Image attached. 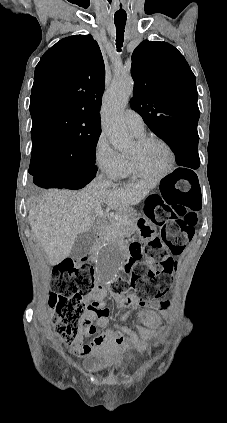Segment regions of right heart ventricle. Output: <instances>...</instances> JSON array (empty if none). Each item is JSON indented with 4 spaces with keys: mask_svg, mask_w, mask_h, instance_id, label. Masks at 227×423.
Masks as SVG:
<instances>
[{
    "mask_svg": "<svg viewBox=\"0 0 227 423\" xmlns=\"http://www.w3.org/2000/svg\"><path fill=\"white\" fill-rule=\"evenodd\" d=\"M144 134H142V135H138V136H136V137H141V136H143ZM124 159H125V163H126V171H125V175H129L130 173H131V168H130V163H129V159H128V156L127 155H124Z\"/></svg>",
    "mask_w": 227,
    "mask_h": 423,
    "instance_id": "obj_1",
    "label": "right heart ventricle"
}]
</instances>
